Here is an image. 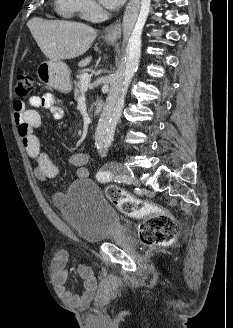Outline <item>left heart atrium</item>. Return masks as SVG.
Segmentation results:
<instances>
[{
    "instance_id": "39dd6f15",
    "label": "left heart atrium",
    "mask_w": 233,
    "mask_h": 328,
    "mask_svg": "<svg viewBox=\"0 0 233 328\" xmlns=\"http://www.w3.org/2000/svg\"><path fill=\"white\" fill-rule=\"evenodd\" d=\"M125 0H101V2L107 7V8H111V9H115L117 7H119L120 5H122V3Z\"/></svg>"
}]
</instances>
